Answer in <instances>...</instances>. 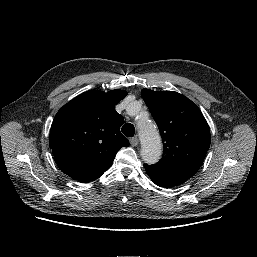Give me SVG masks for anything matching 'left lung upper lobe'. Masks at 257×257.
I'll return each mask as SVG.
<instances>
[{"instance_id": "1", "label": "left lung upper lobe", "mask_w": 257, "mask_h": 257, "mask_svg": "<svg viewBox=\"0 0 257 257\" xmlns=\"http://www.w3.org/2000/svg\"><path fill=\"white\" fill-rule=\"evenodd\" d=\"M163 139V156L155 168L191 178L210 147L209 126L200 109L174 91L142 90Z\"/></svg>"}]
</instances>
